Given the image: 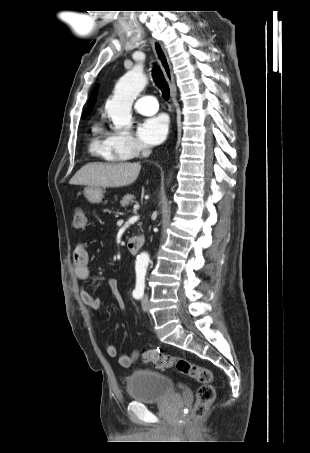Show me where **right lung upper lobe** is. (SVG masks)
<instances>
[{
    "mask_svg": "<svg viewBox=\"0 0 310 453\" xmlns=\"http://www.w3.org/2000/svg\"><path fill=\"white\" fill-rule=\"evenodd\" d=\"M96 92H97V89L95 88L91 93L89 103H88V108L84 111L83 118L86 117L88 115V113L91 111V109L94 105L95 99H96Z\"/></svg>",
    "mask_w": 310,
    "mask_h": 453,
    "instance_id": "right-lung-upper-lobe-1",
    "label": "right lung upper lobe"
}]
</instances>
